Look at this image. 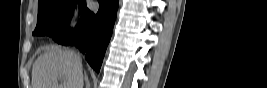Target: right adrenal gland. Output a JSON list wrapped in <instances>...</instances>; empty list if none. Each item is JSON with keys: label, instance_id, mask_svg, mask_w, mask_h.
Instances as JSON below:
<instances>
[{"label": "right adrenal gland", "instance_id": "2a0ac1e0", "mask_svg": "<svg viewBox=\"0 0 267 88\" xmlns=\"http://www.w3.org/2000/svg\"><path fill=\"white\" fill-rule=\"evenodd\" d=\"M85 82H86V88H90V82L86 73H85Z\"/></svg>", "mask_w": 267, "mask_h": 88}]
</instances>
